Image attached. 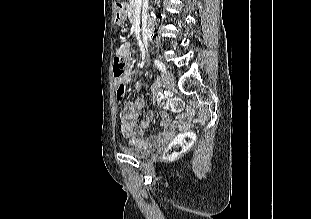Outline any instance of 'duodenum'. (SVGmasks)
<instances>
[{"label":"duodenum","mask_w":311,"mask_h":219,"mask_svg":"<svg viewBox=\"0 0 311 219\" xmlns=\"http://www.w3.org/2000/svg\"><path fill=\"white\" fill-rule=\"evenodd\" d=\"M124 9H125L124 6H120V7H119V11H120V12H123ZM154 28H155L154 23L151 22V21L148 22V24H147V30H148V32H147V40H150V39L152 38Z\"/></svg>","instance_id":"duodenum-1"}]
</instances>
